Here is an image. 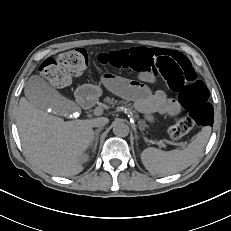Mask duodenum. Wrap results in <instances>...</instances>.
<instances>
[{
    "instance_id": "1",
    "label": "duodenum",
    "mask_w": 231,
    "mask_h": 231,
    "mask_svg": "<svg viewBox=\"0 0 231 231\" xmlns=\"http://www.w3.org/2000/svg\"><path fill=\"white\" fill-rule=\"evenodd\" d=\"M79 104L84 111H88L91 108L93 101L91 99L84 98L79 101Z\"/></svg>"
}]
</instances>
